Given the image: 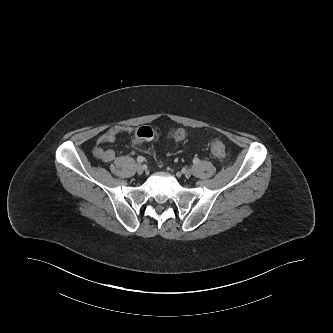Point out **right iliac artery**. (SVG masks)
<instances>
[{
	"label": "right iliac artery",
	"instance_id": "82829eb1",
	"mask_svg": "<svg viewBox=\"0 0 333 333\" xmlns=\"http://www.w3.org/2000/svg\"><path fill=\"white\" fill-rule=\"evenodd\" d=\"M137 161H138L139 163H142V162L145 161V158H144L143 156H138V157H137Z\"/></svg>",
	"mask_w": 333,
	"mask_h": 333
}]
</instances>
